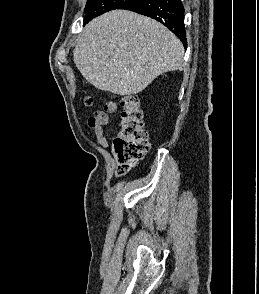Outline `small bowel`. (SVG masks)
I'll return each mask as SVG.
<instances>
[{
	"label": "small bowel",
	"mask_w": 259,
	"mask_h": 294,
	"mask_svg": "<svg viewBox=\"0 0 259 294\" xmlns=\"http://www.w3.org/2000/svg\"><path fill=\"white\" fill-rule=\"evenodd\" d=\"M118 104L114 101L107 102L101 111L95 112L88 119V127L94 131L96 142L103 148H106L108 141L104 134V126L109 122V115L117 114Z\"/></svg>",
	"instance_id": "c3829d8e"
}]
</instances>
